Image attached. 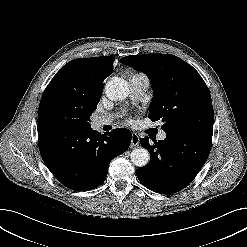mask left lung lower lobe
<instances>
[{
  "mask_svg": "<svg viewBox=\"0 0 247 247\" xmlns=\"http://www.w3.org/2000/svg\"><path fill=\"white\" fill-rule=\"evenodd\" d=\"M141 138L150 155V162L137 170V177L148 189L172 194L188 186L205 164L212 137L199 134H167L164 140Z\"/></svg>",
  "mask_w": 247,
  "mask_h": 247,
  "instance_id": "left-lung-lower-lobe-1",
  "label": "left lung lower lobe"
}]
</instances>
